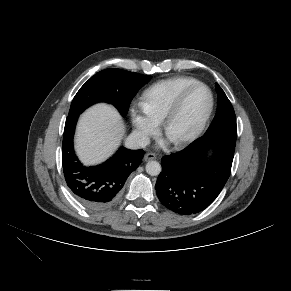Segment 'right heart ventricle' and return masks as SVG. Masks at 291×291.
<instances>
[{
	"mask_svg": "<svg viewBox=\"0 0 291 291\" xmlns=\"http://www.w3.org/2000/svg\"><path fill=\"white\" fill-rule=\"evenodd\" d=\"M198 82L190 76H176L158 81L143 92L141 107L149 117L160 123L181 92Z\"/></svg>",
	"mask_w": 291,
	"mask_h": 291,
	"instance_id": "e07e8e85",
	"label": "right heart ventricle"
}]
</instances>
